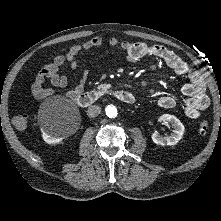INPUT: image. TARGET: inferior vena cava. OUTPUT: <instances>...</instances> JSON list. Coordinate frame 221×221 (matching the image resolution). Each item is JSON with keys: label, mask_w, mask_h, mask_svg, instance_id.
Returning a JSON list of instances; mask_svg holds the SVG:
<instances>
[{"label": "inferior vena cava", "mask_w": 221, "mask_h": 221, "mask_svg": "<svg viewBox=\"0 0 221 221\" xmlns=\"http://www.w3.org/2000/svg\"><path fill=\"white\" fill-rule=\"evenodd\" d=\"M101 107L98 105H91L87 110V115L89 117H96L100 114Z\"/></svg>", "instance_id": "obj_1"}]
</instances>
